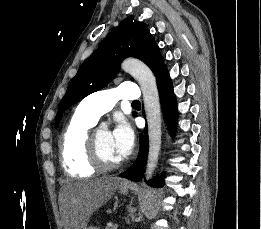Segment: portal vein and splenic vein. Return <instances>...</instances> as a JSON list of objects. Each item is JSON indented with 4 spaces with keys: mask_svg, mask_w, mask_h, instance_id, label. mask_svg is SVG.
I'll return each instance as SVG.
<instances>
[{
    "mask_svg": "<svg viewBox=\"0 0 261 229\" xmlns=\"http://www.w3.org/2000/svg\"><path fill=\"white\" fill-rule=\"evenodd\" d=\"M117 224H118V221H115V223L112 224V229H119Z\"/></svg>",
    "mask_w": 261,
    "mask_h": 229,
    "instance_id": "obj_1",
    "label": "portal vein and splenic vein"
}]
</instances>
